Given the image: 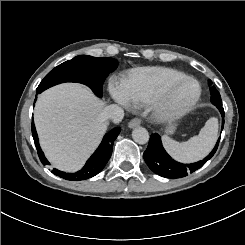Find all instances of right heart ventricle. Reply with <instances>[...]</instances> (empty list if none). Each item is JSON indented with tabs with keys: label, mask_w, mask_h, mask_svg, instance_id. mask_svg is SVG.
<instances>
[{
	"label": "right heart ventricle",
	"mask_w": 245,
	"mask_h": 245,
	"mask_svg": "<svg viewBox=\"0 0 245 245\" xmlns=\"http://www.w3.org/2000/svg\"><path fill=\"white\" fill-rule=\"evenodd\" d=\"M186 77V74L164 67H149L133 71L131 78L117 88L118 96L129 105L148 102L155 88L164 81Z\"/></svg>",
	"instance_id": "e07e8e85"
}]
</instances>
